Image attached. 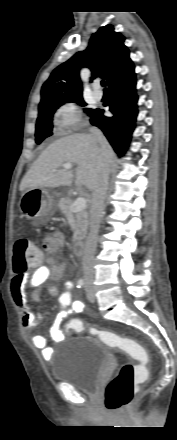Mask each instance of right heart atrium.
Instances as JSON below:
<instances>
[{
	"mask_svg": "<svg viewBox=\"0 0 177 440\" xmlns=\"http://www.w3.org/2000/svg\"><path fill=\"white\" fill-rule=\"evenodd\" d=\"M54 122L62 129L77 128L81 122L78 106L73 102L62 104L54 113Z\"/></svg>",
	"mask_w": 177,
	"mask_h": 440,
	"instance_id": "obj_1",
	"label": "right heart atrium"
}]
</instances>
